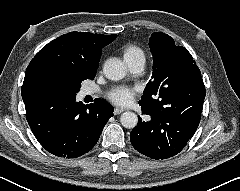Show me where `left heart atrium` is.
I'll return each instance as SVG.
<instances>
[{
	"label": "left heart atrium",
	"mask_w": 240,
	"mask_h": 191,
	"mask_svg": "<svg viewBox=\"0 0 240 191\" xmlns=\"http://www.w3.org/2000/svg\"><path fill=\"white\" fill-rule=\"evenodd\" d=\"M135 93L136 89L133 87L116 86L109 91L108 97L112 102L118 105H126L132 101Z\"/></svg>",
	"instance_id": "1"
}]
</instances>
